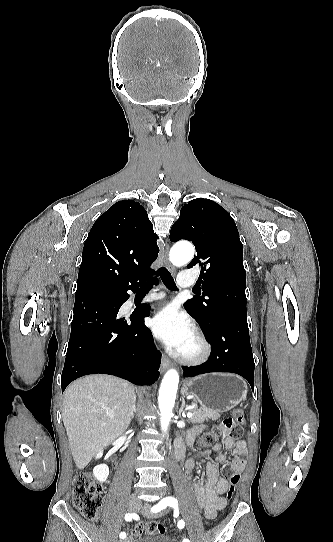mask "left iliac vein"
<instances>
[{"instance_id": "left-iliac-vein-1", "label": "left iliac vein", "mask_w": 333, "mask_h": 542, "mask_svg": "<svg viewBox=\"0 0 333 542\" xmlns=\"http://www.w3.org/2000/svg\"><path fill=\"white\" fill-rule=\"evenodd\" d=\"M151 505L150 503H145L144 506L141 509L142 515L146 518L152 517L153 513L150 511Z\"/></svg>"}]
</instances>
